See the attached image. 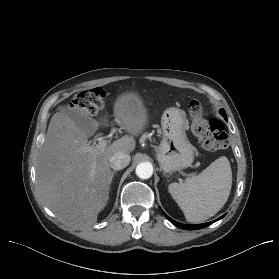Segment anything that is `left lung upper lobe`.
I'll return each instance as SVG.
<instances>
[{"label":"left lung upper lobe","mask_w":279,"mask_h":279,"mask_svg":"<svg viewBox=\"0 0 279 279\" xmlns=\"http://www.w3.org/2000/svg\"><path fill=\"white\" fill-rule=\"evenodd\" d=\"M222 115L224 116L225 119H227L226 113L224 110H221Z\"/></svg>","instance_id":"5c2ea615"}]
</instances>
